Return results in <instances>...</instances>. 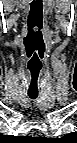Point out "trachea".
<instances>
[{
    "label": "trachea",
    "mask_w": 77,
    "mask_h": 143,
    "mask_svg": "<svg viewBox=\"0 0 77 143\" xmlns=\"http://www.w3.org/2000/svg\"><path fill=\"white\" fill-rule=\"evenodd\" d=\"M29 98L32 99V100H34V99L37 98V95H30V94H29Z\"/></svg>",
    "instance_id": "3493384b"
}]
</instances>
